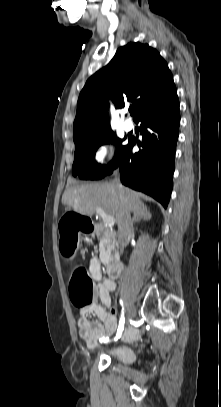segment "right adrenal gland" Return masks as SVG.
<instances>
[{"mask_svg": "<svg viewBox=\"0 0 221 407\" xmlns=\"http://www.w3.org/2000/svg\"><path fill=\"white\" fill-rule=\"evenodd\" d=\"M140 220H141V218H139L137 215H134V217H133L134 223L139 222Z\"/></svg>", "mask_w": 221, "mask_h": 407, "instance_id": "1", "label": "right adrenal gland"}]
</instances>
